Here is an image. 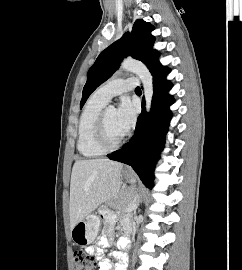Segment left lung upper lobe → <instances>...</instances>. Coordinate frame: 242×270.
Segmentation results:
<instances>
[{"label":"left lung upper lobe","mask_w":242,"mask_h":270,"mask_svg":"<svg viewBox=\"0 0 242 270\" xmlns=\"http://www.w3.org/2000/svg\"><path fill=\"white\" fill-rule=\"evenodd\" d=\"M152 30L154 27L150 23L136 20L131 33H125L120 40L100 53L88 71L80 108L83 107L90 94L118 69L124 57L132 55L133 58L142 61L150 72L160 65L159 53L153 50L155 38L151 35Z\"/></svg>","instance_id":"5c2ea615"}]
</instances>
